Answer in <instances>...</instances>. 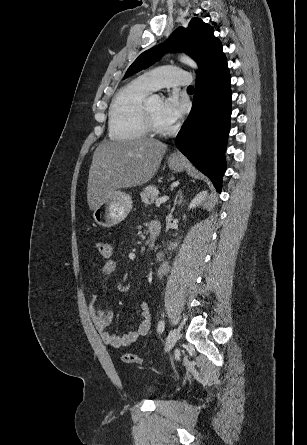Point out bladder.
Returning <instances> with one entry per match:
<instances>
[{
	"label": "bladder",
	"mask_w": 307,
	"mask_h": 445,
	"mask_svg": "<svg viewBox=\"0 0 307 445\" xmlns=\"http://www.w3.org/2000/svg\"><path fill=\"white\" fill-rule=\"evenodd\" d=\"M146 391L149 394H154L155 393V389L153 387H146Z\"/></svg>",
	"instance_id": "1"
}]
</instances>
